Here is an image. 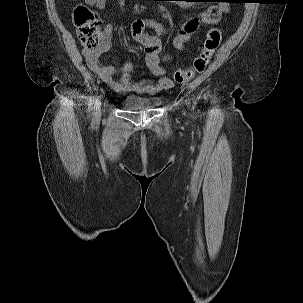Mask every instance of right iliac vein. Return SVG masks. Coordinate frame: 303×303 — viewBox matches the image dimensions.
<instances>
[{
  "label": "right iliac vein",
  "instance_id": "63e3f726",
  "mask_svg": "<svg viewBox=\"0 0 303 303\" xmlns=\"http://www.w3.org/2000/svg\"><path fill=\"white\" fill-rule=\"evenodd\" d=\"M100 118H101V105L97 103L93 112V120L95 122H98Z\"/></svg>",
  "mask_w": 303,
  "mask_h": 303
}]
</instances>
